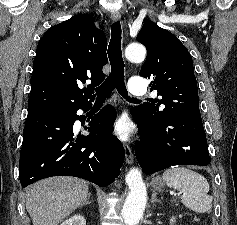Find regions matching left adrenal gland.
Wrapping results in <instances>:
<instances>
[{"label": "left adrenal gland", "mask_w": 237, "mask_h": 225, "mask_svg": "<svg viewBox=\"0 0 237 225\" xmlns=\"http://www.w3.org/2000/svg\"><path fill=\"white\" fill-rule=\"evenodd\" d=\"M156 202H159V203H160L161 200L157 199V198H156V193L153 192L152 198H151V203L154 204V203H156Z\"/></svg>", "instance_id": "1"}]
</instances>
